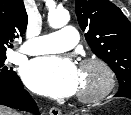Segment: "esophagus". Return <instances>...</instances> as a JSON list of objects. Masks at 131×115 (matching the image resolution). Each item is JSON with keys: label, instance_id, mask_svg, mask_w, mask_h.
Wrapping results in <instances>:
<instances>
[{"label": "esophagus", "instance_id": "1", "mask_svg": "<svg viewBox=\"0 0 131 115\" xmlns=\"http://www.w3.org/2000/svg\"><path fill=\"white\" fill-rule=\"evenodd\" d=\"M49 114L50 115H62L61 110L56 107L51 108L49 111Z\"/></svg>", "mask_w": 131, "mask_h": 115}]
</instances>
